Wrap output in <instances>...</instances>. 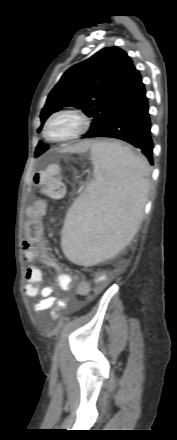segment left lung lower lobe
I'll return each instance as SVG.
<instances>
[{
    "mask_svg": "<svg viewBox=\"0 0 177 440\" xmlns=\"http://www.w3.org/2000/svg\"><path fill=\"white\" fill-rule=\"evenodd\" d=\"M146 91L142 79L107 122L84 138H117L139 148L153 165V141Z\"/></svg>",
    "mask_w": 177,
    "mask_h": 440,
    "instance_id": "obj_1",
    "label": "left lung lower lobe"
}]
</instances>
